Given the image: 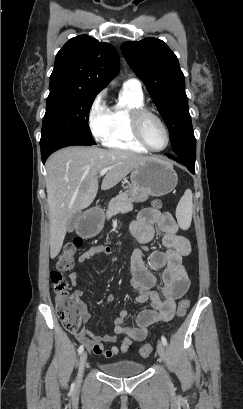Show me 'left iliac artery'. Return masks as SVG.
I'll return each mask as SVG.
<instances>
[{
    "mask_svg": "<svg viewBox=\"0 0 243 409\" xmlns=\"http://www.w3.org/2000/svg\"><path fill=\"white\" fill-rule=\"evenodd\" d=\"M161 340L164 346L167 345V339L165 338V336H161Z\"/></svg>",
    "mask_w": 243,
    "mask_h": 409,
    "instance_id": "1",
    "label": "left iliac artery"
}]
</instances>
